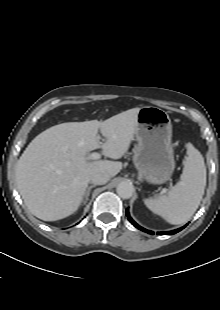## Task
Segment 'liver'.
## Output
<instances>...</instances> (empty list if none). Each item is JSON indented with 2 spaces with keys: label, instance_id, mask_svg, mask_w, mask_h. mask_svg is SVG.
<instances>
[{
  "label": "liver",
  "instance_id": "obj_1",
  "mask_svg": "<svg viewBox=\"0 0 220 310\" xmlns=\"http://www.w3.org/2000/svg\"><path fill=\"white\" fill-rule=\"evenodd\" d=\"M140 108H132L105 121L68 122L37 135L16 164V183L29 211L44 221L66 218L79 208L95 173L111 177L121 162L90 161L89 152L102 148L106 157H123L133 140ZM105 137L101 143L98 131Z\"/></svg>",
  "mask_w": 220,
  "mask_h": 310
}]
</instances>
